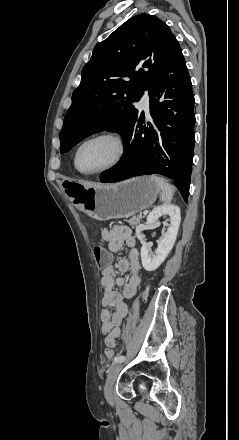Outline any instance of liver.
I'll return each mask as SVG.
<instances>
[{"label": "liver", "instance_id": "6515ba94", "mask_svg": "<svg viewBox=\"0 0 239 440\" xmlns=\"http://www.w3.org/2000/svg\"><path fill=\"white\" fill-rule=\"evenodd\" d=\"M79 184H83V186H89V188L93 186V184H90V182H83V180H80ZM97 186H101V184H97ZM97 186H95V188H97Z\"/></svg>", "mask_w": 239, "mask_h": 440}]
</instances>
